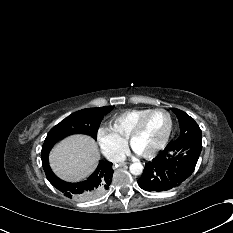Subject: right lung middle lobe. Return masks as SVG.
Masks as SVG:
<instances>
[{"label":"right lung middle lobe","mask_w":233,"mask_h":233,"mask_svg":"<svg viewBox=\"0 0 233 233\" xmlns=\"http://www.w3.org/2000/svg\"><path fill=\"white\" fill-rule=\"evenodd\" d=\"M114 106L88 108L77 111L53 127L42 146V156L48 155L53 145L60 139L72 134H86L96 139L100 123Z\"/></svg>","instance_id":"obj_1"}]
</instances>
